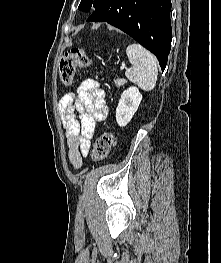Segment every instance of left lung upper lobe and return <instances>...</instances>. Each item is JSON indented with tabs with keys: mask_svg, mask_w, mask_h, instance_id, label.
Returning a JSON list of instances; mask_svg holds the SVG:
<instances>
[{
	"mask_svg": "<svg viewBox=\"0 0 221 263\" xmlns=\"http://www.w3.org/2000/svg\"><path fill=\"white\" fill-rule=\"evenodd\" d=\"M103 2H104V0H81L78 8L81 11H89L92 6L96 9Z\"/></svg>",
	"mask_w": 221,
	"mask_h": 263,
	"instance_id": "obj_1",
	"label": "left lung upper lobe"
}]
</instances>
